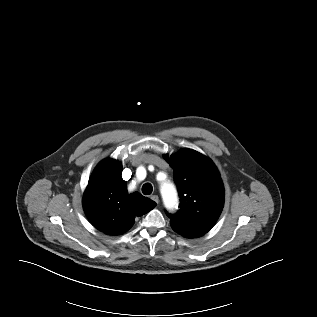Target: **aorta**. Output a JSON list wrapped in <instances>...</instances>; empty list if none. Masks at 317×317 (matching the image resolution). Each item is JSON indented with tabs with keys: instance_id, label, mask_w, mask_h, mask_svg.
<instances>
[{
	"instance_id": "obj_1",
	"label": "aorta",
	"mask_w": 317,
	"mask_h": 317,
	"mask_svg": "<svg viewBox=\"0 0 317 317\" xmlns=\"http://www.w3.org/2000/svg\"><path fill=\"white\" fill-rule=\"evenodd\" d=\"M161 193L164 203L168 208H174L178 204V196L174 185L169 180H164L161 185Z\"/></svg>"
}]
</instances>
